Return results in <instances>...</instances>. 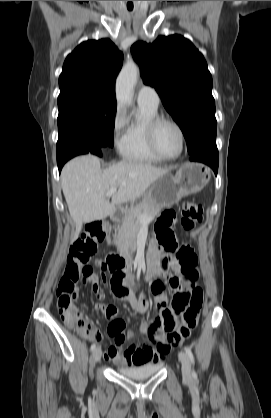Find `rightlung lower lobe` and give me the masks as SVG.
Wrapping results in <instances>:
<instances>
[{
	"instance_id": "1",
	"label": "right lung lower lobe",
	"mask_w": 271,
	"mask_h": 418,
	"mask_svg": "<svg viewBox=\"0 0 271 418\" xmlns=\"http://www.w3.org/2000/svg\"><path fill=\"white\" fill-rule=\"evenodd\" d=\"M89 152L98 156H102V148H92V149L86 148V149H80L74 152H64V153L57 154V164H58L59 172H61L63 165L69 159L73 158L76 155L86 154Z\"/></svg>"
}]
</instances>
